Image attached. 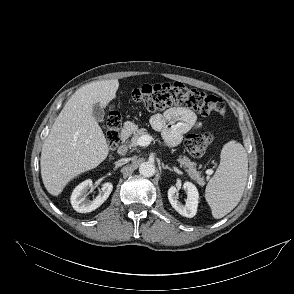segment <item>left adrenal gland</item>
<instances>
[{
  "label": "left adrenal gland",
  "instance_id": "left-adrenal-gland-1",
  "mask_svg": "<svg viewBox=\"0 0 294 294\" xmlns=\"http://www.w3.org/2000/svg\"><path fill=\"white\" fill-rule=\"evenodd\" d=\"M162 168H163V169H168V170H170V171H173L172 168H170L168 165H164L163 163H162Z\"/></svg>",
  "mask_w": 294,
  "mask_h": 294
}]
</instances>
